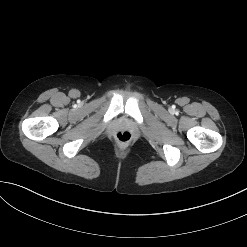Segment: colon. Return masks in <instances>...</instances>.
I'll use <instances>...</instances> for the list:
<instances>
[{
	"label": "colon",
	"instance_id": "obj_1",
	"mask_svg": "<svg viewBox=\"0 0 247 247\" xmlns=\"http://www.w3.org/2000/svg\"><path fill=\"white\" fill-rule=\"evenodd\" d=\"M116 138L121 143H127L131 140L132 134L129 131L123 130L116 133Z\"/></svg>",
	"mask_w": 247,
	"mask_h": 247
}]
</instances>
